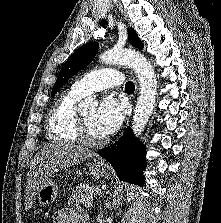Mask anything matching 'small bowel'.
<instances>
[{"instance_id": "c3829d8e", "label": "small bowel", "mask_w": 221, "mask_h": 223, "mask_svg": "<svg viewBox=\"0 0 221 223\" xmlns=\"http://www.w3.org/2000/svg\"><path fill=\"white\" fill-rule=\"evenodd\" d=\"M52 223H89V220L87 215L79 210L62 208L54 214Z\"/></svg>"}]
</instances>
